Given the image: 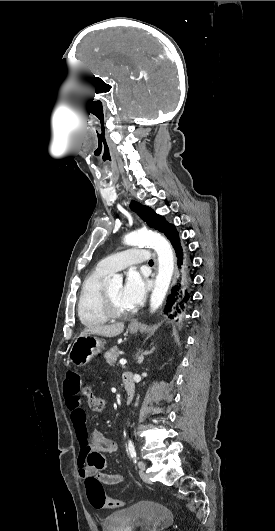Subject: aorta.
I'll list each match as a JSON object with an SVG mask.
<instances>
[{"label": "aorta", "mask_w": 275, "mask_h": 531, "mask_svg": "<svg viewBox=\"0 0 275 531\" xmlns=\"http://www.w3.org/2000/svg\"><path fill=\"white\" fill-rule=\"evenodd\" d=\"M140 241H144L155 249L158 255V275L155 279L154 289L150 297V311L155 313L161 307L171 283L174 271V255L173 249L161 235L152 233V231H134L124 237V245L129 247H136ZM108 289H115V287H122V275H113L112 279H105Z\"/></svg>", "instance_id": "762f6f07"}]
</instances>
